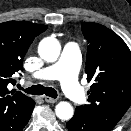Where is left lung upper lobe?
Wrapping results in <instances>:
<instances>
[{"mask_svg":"<svg viewBox=\"0 0 131 131\" xmlns=\"http://www.w3.org/2000/svg\"><path fill=\"white\" fill-rule=\"evenodd\" d=\"M82 32L89 43L85 72L93 84L88 91L90 103L76 108L109 131L131 105V52L105 26L84 22Z\"/></svg>","mask_w":131,"mask_h":131,"instance_id":"obj_1","label":"left lung upper lobe"}]
</instances>
